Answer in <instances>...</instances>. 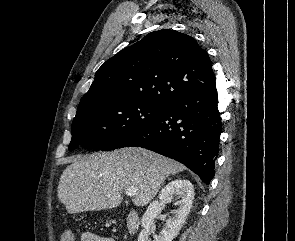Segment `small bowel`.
<instances>
[{
  "label": "small bowel",
  "mask_w": 295,
  "mask_h": 241,
  "mask_svg": "<svg viewBox=\"0 0 295 241\" xmlns=\"http://www.w3.org/2000/svg\"><path fill=\"white\" fill-rule=\"evenodd\" d=\"M81 241H114V240L112 238H108V237L103 238V237L94 235L90 232H85L81 236Z\"/></svg>",
  "instance_id": "small-bowel-1"
}]
</instances>
